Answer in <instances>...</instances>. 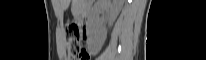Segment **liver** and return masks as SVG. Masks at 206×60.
Segmentation results:
<instances>
[{
    "label": "liver",
    "mask_w": 206,
    "mask_h": 60,
    "mask_svg": "<svg viewBox=\"0 0 206 60\" xmlns=\"http://www.w3.org/2000/svg\"><path fill=\"white\" fill-rule=\"evenodd\" d=\"M72 0H58L62 10L66 9ZM108 4H111V0L107 1ZM113 4L111 5V12L114 17H116L123 5L124 0H113Z\"/></svg>",
    "instance_id": "6515ba94"
}]
</instances>
